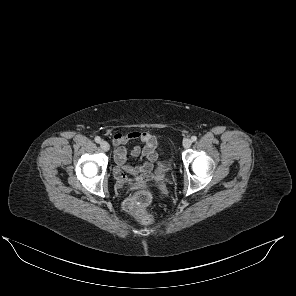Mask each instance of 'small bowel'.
<instances>
[{"instance_id": "small-bowel-1", "label": "small bowel", "mask_w": 296, "mask_h": 296, "mask_svg": "<svg viewBox=\"0 0 296 296\" xmlns=\"http://www.w3.org/2000/svg\"><path fill=\"white\" fill-rule=\"evenodd\" d=\"M132 141H138L143 146H134L129 152L124 145ZM113 143L116 147L115 161L117 168L115 175L121 187L128 184L140 186L145 180L151 178L153 166L159 161L156 152L157 140L152 134L142 131H133L127 134L118 133L114 135ZM129 154L143 159V162L136 166L130 165ZM125 173L132 174L133 178H129Z\"/></svg>"}]
</instances>
